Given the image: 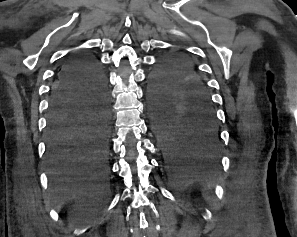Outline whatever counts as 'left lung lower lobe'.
I'll return each mask as SVG.
<instances>
[{"mask_svg": "<svg viewBox=\"0 0 297 237\" xmlns=\"http://www.w3.org/2000/svg\"><path fill=\"white\" fill-rule=\"evenodd\" d=\"M152 123L164 156L177 167H216L220 136L212 104H150Z\"/></svg>", "mask_w": 297, "mask_h": 237, "instance_id": "left-lung-lower-lobe-1", "label": "left lung lower lobe"}]
</instances>
